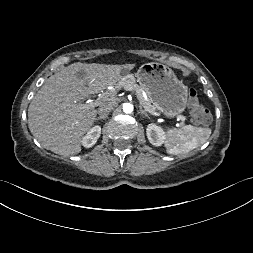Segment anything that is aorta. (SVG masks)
Instances as JSON below:
<instances>
[{
  "mask_svg": "<svg viewBox=\"0 0 253 253\" xmlns=\"http://www.w3.org/2000/svg\"><path fill=\"white\" fill-rule=\"evenodd\" d=\"M133 105L131 103H124L123 104V111L126 114L132 113L133 112Z\"/></svg>",
  "mask_w": 253,
  "mask_h": 253,
  "instance_id": "762f6f07",
  "label": "aorta"
}]
</instances>
